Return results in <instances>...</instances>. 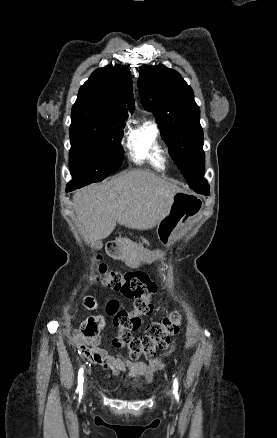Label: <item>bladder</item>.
I'll return each instance as SVG.
<instances>
[{
	"label": "bladder",
	"instance_id": "bladder-1",
	"mask_svg": "<svg viewBox=\"0 0 277 438\" xmlns=\"http://www.w3.org/2000/svg\"><path fill=\"white\" fill-rule=\"evenodd\" d=\"M144 391H135V390H129V389H121L118 391V395L126 396V397H135L137 395L142 394Z\"/></svg>",
	"mask_w": 277,
	"mask_h": 438
}]
</instances>
